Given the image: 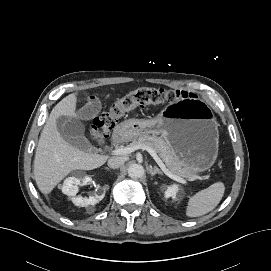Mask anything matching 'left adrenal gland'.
<instances>
[{
  "instance_id": "left-adrenal-gland-1",
  "label": "left adrenal gland",
  "mask_w": 271,
  "mask_h": 271,
  "mask_svg": "<svg viewBox=\"0 0 271 271\" xmlns=\"http://www.w3.org/2000/svg\"><path fill=\"white\" fill-rule=\"evenodd\" d=\"M148 170H149V173L151 176H154L156 174L163 175V173L156 166H154V167L150 166V168Z\"/></svg>"
}]
</instances>
